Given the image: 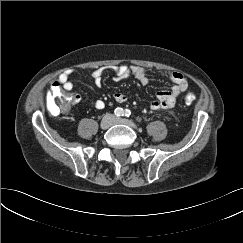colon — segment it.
Segmentation results:
<instances>
[{
    "mask_svg": "<svg viewBox=\"0 0 243 243\" xmlns=\"http://www.w3.org/2000/svg\"><path fill=\"white\" fill-rule=\"evenodd\" d=\"M194 101V94L190 93L185 96V102L187 104H192ZM47 104L49 111L53 115H58L70 109L71 105L73 104V97L72 95L64 92L62 86L55 82L47 94Z\"/></svg>",
    "mask_w": 243,
    "mask_h": 243,
    "instance_id": "colon-1",
    "label": "colon"
}]
</instances>
